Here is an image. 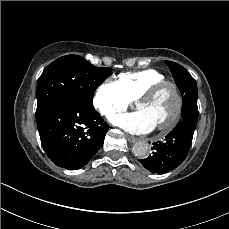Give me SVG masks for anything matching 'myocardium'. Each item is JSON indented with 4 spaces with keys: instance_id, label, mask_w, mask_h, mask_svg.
<instances>
[{
    "instance_id": "f54148a6",
    "label": "myocardium",
    "mask_w": 229,
    "mask_h": 229,
    "mask_svg": "<svg viewBox=\"0 0 229 229\" xmlns=\"http://www.w3.org/2000/svg\"><path fill=\"white\" fill-rule=\"evenodd\" d=\"M168 86H172L174 88L169 94L171 99L169 102L171 114L165 119L168 123L167 125L156 127L157 131L163 134L173 130L182 120L185 113L186 100L179 85L174 81H163L149 88L137 101V104L142 101H152Z\"/></svg>"
}]
</instances>
